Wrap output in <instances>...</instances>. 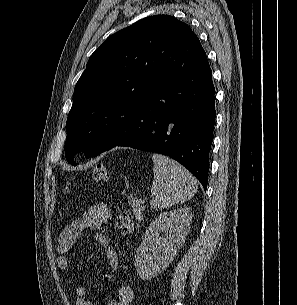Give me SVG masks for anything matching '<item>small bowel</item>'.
Segmentation results:
<instances>
[{
  "mask_svg": "<svg viewBox=\"0 0 297 305\" xmlns=\"http://www.w3.org/2000/svg\"><path fill=\"white\" fill-rule=\"evenodd\" d=\"M110 219L111 211L109 207L99 203L92 205L81 218L65 226L60 232L57 242L58 267L62 270L68 267L67 254L85 229L98 231ZM95 240L104 250L107 266L111 269H116L118 267L117 253L108 238L102 233L96 232ZM87 292L85 285H78L76 287L77 305H96L93 300L86 297ZM133 299V287L130 284L124 283L117 289V298L110 301L108 305H130Z\"/></svg>",
  "mask_w": 297,
  "mask_h": 305,
  "instance_id": "small-bowel-1",
  "label": "small bowel"
}]
</instances>
